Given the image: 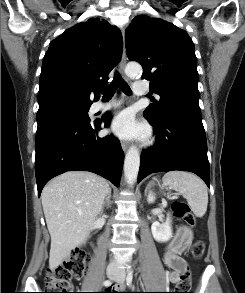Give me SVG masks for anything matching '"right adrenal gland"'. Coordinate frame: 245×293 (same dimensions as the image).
<instances>
[{"label": "right adrenal gland", "instance_id": "right-adrenal-gland-1", "mask_svg": "<svg viewBox=\"0 0 245 293\" xmlns=\"http://www.w3.org/2000/svg\"><path fill=\"white\" fill-rule=\"evenodd\" d=\"M110 198H111V189L109 190V192H108V194L106 196V199H105V201L103 203L102 211L104 210L105 207L108 208L110 206V204H111Z\"/></svg>", "mask_w": 245, "mask_h": 293}]
</instances>
